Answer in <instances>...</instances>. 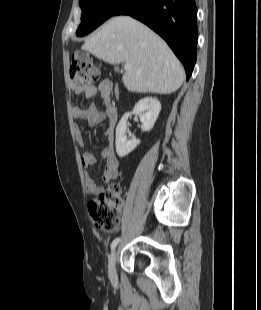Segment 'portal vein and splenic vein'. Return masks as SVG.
I'll return each mask as SVG.
<instances>
[{
  "instance_id": "portal-vein-and-splenic-vein-1",
  "label": "portal vein and splenic vein",
  "mask_w": 261,
  "mask_h": 310,
  "mask_svg": "<svg viewBox=\"0 0 261 310\" xmlns=\"http://www.w3.org/2000/svg\"><path fill=\"white\" fill-rule=\"evenodd\" d=\"M131 69V65L130 64H125L124 65V70L125 71H128V70H130Z\"/></svg>"
}]
</instances>
